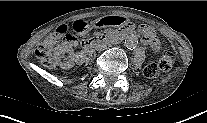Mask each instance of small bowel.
Masks as SVG:
<instances>
[{
	"mask_svg": "<svg viewBox=\"0 0 207 123\" xmlns=\"http://www.w3.org/2000/svg\"><path fill=\"white\" fill-rule=\"evenodd\" d=\"M125 15H106L105 17L98 18V25L103 28L108 27H123L126 24L124 30H130L133 28L132 22H127ZM91 22L89 19H80L79 22H73V29L75 31L83 32L89 30ZM139 32L142 34V41L144 44L149 45L154 52H158L160 49V41L158 40L154 30L148 25H141Z\"/></svg>",
	"mask_w": 207,
	"mask_h": 123,
	"instance_id": "c3829d8e",
	"label": "small bowel"
}]
</instances>
